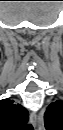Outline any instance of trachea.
Here are the masks:
<instances>
[{
    "mask_svg": "<svg viewBox=\"0 0 63 130\" xmlns=\"http://www.w3.org/2000/svg\"><path fill=\"white\" fill-rule=\"evenodd\" d=\"M26 130H34V129H33V126H32L31 124H28V125L26 126Z\"/></svg>",
    "mask_w": 63,
    "mask_h": 130,
    "instance_id": "3493384b",
    "label": "trachea"
}]
</instances>
